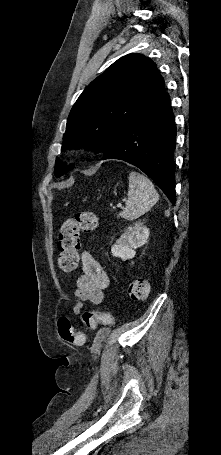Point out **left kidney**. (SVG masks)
I'll list each match as a JSON object with an SVG mask.
<instances>
[{
    "mask_svg": "<svg viewBox=\"0 0 221 455\" xmlns=\"http://www.w3.org/2000/svg\"><path fill=\"white\" fill-rule=\"evenodd\" d=\"M149 229L141 222L124 231L116 243L112 246L111 252L114 257L122 260L132 259L136 255L135 249L147 242Z\"/></svg>",
    "mask_w": 221,
    "mask_h": 455,
    "instance_id": "5707ae66",
    "label": "left kidney"
}]
</instances>
